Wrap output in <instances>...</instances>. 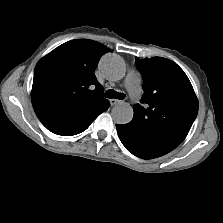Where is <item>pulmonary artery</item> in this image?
<instances>
[{"label":"pulmonary artery","mask_w":223,"mask_h":223,"mask_svg":"<svg viewBox=\"0 0 223 223\" xmlns=\"http://www.w3.org/2000/svg\"><path fill=\"white\" fill-rule=\"evenodd\" d=\"M125 87L134 102L141 98V75L137 71H130L125 79Z\"/></svg>","instance_id":"obj_1"}]
</instances>
